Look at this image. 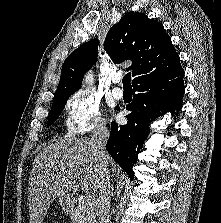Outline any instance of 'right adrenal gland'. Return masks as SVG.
<instances>
[{
    "label": "right adrenal gland",
    "instance_id": "1",
    "mask_svg": "<svg viewBox=\"0 0 221 223\" xmlns=\"http://www.w3.org/2000/svg\"><path fill=\"white\" fill-rule=\"evenodd\" d=\"M112 193H114V188L112 187Z\"/></svg>",
    "mask_w": 221,
    "mask_h": 223
}]
</instances>
